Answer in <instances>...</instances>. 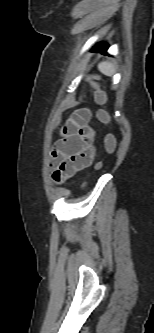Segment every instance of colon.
I'll return each instance as SVG.
<instances>
[{"label":"colon","instance_id":"colon-1","mask_svg":"<svg viewBox=\"0 0 154 333\" xmlns=\"http://www.w3.org/2000/svg\"><path fill=\"white\" fill-rule=\"evenodd\" d=\"M89 81H90L92 87L94 88L95 101L100 105L104 104L106 101V96H105V93L100 89V87L96 81V78L90 77ZM97 118L103 124V126H107L110 121L109 114L104 109L98 110ZM104 143H105V149H106L107 153H109V154L113 153L115 150V146H116V139H115L114 135L111 133H107L105 136ZM96 168L100 169L101 163H98L96 165Z\"/></svg>","mask_w":154,"mask_h":333}]
</instances>
